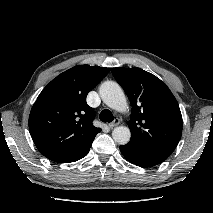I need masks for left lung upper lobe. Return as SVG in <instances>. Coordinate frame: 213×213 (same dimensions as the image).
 Here are the masks:
<instances>
[{"instance_id": "1", "label": "left lung upper lobe", "mask_w": 213, "mask_h": 213, "mask_svg": "<svg viewBox=\"0 0 213 213\" xmlns=\"http://www.w3.org/2000/svg\"><path fill=\"white\" fill-rule=\"evenodd\" d=\"M132 105L130 142L170 156L180 141L182 116L177 100L156 76L141 68H112Z\"/></svg>"}]
</instances>
